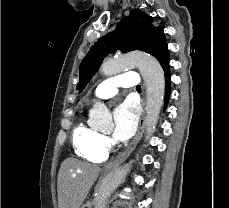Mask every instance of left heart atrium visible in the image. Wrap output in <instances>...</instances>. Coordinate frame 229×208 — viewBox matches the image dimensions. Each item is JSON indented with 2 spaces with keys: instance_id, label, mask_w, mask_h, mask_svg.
Returning <instances> with one entry per match:
<instances>
[{
  "instance_id": "39dd6f15",
  "label": "left heart atrium",
  "mask_w": 229,
  "mask_h": 208,
  "mask_svg": "<svg viewBox=\"0 0 229 208\" xmlns=\"http://www.w3.org/2000/svg\"><path fill=\"white\" fill-rule=\"evenodd\" d=\"M138 111L129 100L121 103L114 111L113 136L118 141L129 139L136 130Z\"/></svg>"
}]
</instances>
